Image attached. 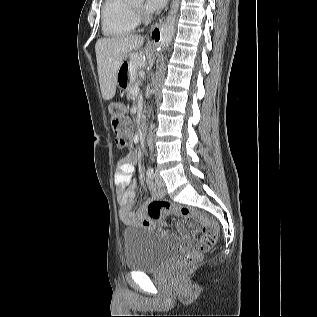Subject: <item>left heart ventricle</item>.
I'll use <instances>...</instances> for the list:
<instances>
[{
	"mask_svg": "<svg viewBox=\"0 0 317 317\" xmlns=\"http://www.w3.org/2000/svg\"><path fill=\"white\" fill-rule=\"evenodd\" d=\"M141 4H142V2L139 0V1H137V2L134 3V6L140 7Z\"/></svg>",
	"mask_w": 317,
	"mask_h": 317,
	"instance_id": "left-heart-ventricle-1",
	"label": "left heart ventricle"
}]
</instances>
